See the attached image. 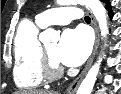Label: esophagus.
Instances as JSON below:
<instances>
[{"label":"esophagus","instance_id":"obj_1","mask_svg":"<svg viewBox=\"0 0 121 94\" xmlns=\"http://www.w3.org/2000/svg\"><path fill=\"white\" fill-rule=\"evenodd\" d=\"M90 16H91V23H92V26H93L94 31H95V44H94L93 52H92L90 58L88 59L87 64H86L85 68L83 69V71L81 72V74L67 88L66 94H75V92L77 91L83 77L85 76V74L87 73L89 67L92 64L93 59H94V57L96 55L98 46H99L100 37H99L98 27L96 25V22L94 20L93 15L91 14Z\"/></svg>","mask_w":121,"mask_h":94}]
</instances>
